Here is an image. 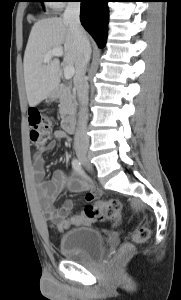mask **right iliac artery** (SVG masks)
<instances>
[{"label": "right iliac artery", "instance_id": "1", "mask_svg": "<svg viewBox=\"0 0 181 300\" xmlns=\"http://www.w3.org/2000/svg\"><path fill=\"white\" fill-rule=\"evenodd\" d=\"M72 167H73V169H74L75 171H77V172H79V173H82V172H83L81 162H80L78 159H76V158H74V159L72 160Z\"/></svg>", "mask_w": 181, "mask_h": 300}]
</instances>
